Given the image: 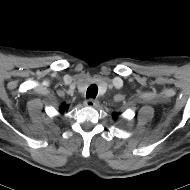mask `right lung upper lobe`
I'll return each instance as SVG.
<instances>
[{
  "mask_svg": "<svg viewBox=\"0 0 190 190\" xmlns=\"http://www.w3.org/2000/svg\"><path fill=\"white\" fill-rule=\"evenodd\" d=\"M66 107H67L66 104H62L60 112H64V110L66 109Z\"/></svg>",
  "mask_w": 190,
  "mask_h": 190,
  "instance_id": "cb5924a9",
  "label": "right lung upper lobe"
}]
</instances>
